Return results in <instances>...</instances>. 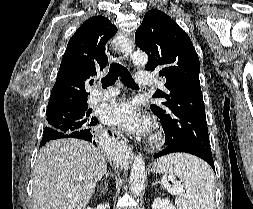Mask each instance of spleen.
I'll use <instances>...</instances> for the list:
<instances>
[{"label":"spleen","mask_w":253,"mask_h":209,"mask_svg":"<svg viewBox=\"0 0 253 209\" xmlns=\"http://www.w3.org/2000/svg\"><path fill=\"white\" fill-rule=\"evenodd\" d=\"M152 171L177 176L183 189L175 199L177 209H214V175L209 165L189 154H170L158 159Z\"/></svg>","instance_id":"3e777b00"}]
</instances>
